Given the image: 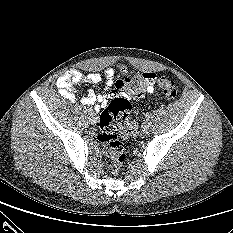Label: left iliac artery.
Instances as JSON below:
<instances>
[{
  "instance_id": "1",
  "label": "left iliac artery",
  "mask_w": 233,
  "mask_h": 233,
  "mask_svg": "<svg viewBox=\"0 0 233 233\" xmlns=\"http://www.w3.org/2000/svg\"><path fill=\"white\" fill-rule=\"evenodd\" d=\"M146 118L149 119L151 117V113H146Z\"/></svg>"
}]
</instances>
